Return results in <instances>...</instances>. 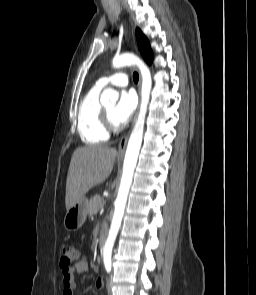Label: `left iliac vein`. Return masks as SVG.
<instances>
[{"instance_id": "obj_1", "label": "left iliac vein", "mask_w": 256, "mask_h": 295, "mask_svg": "<svg viewBox=\"0 0 256 295\" xmlns=\"http://www.w3.org/2000/svg\"><path fill=\"white\" fill-rule=\"evenodd\" d=\"M112 286H113L112 276H109L107 280V290L109 295H112Z\"/></svg>"}]
</instances>
